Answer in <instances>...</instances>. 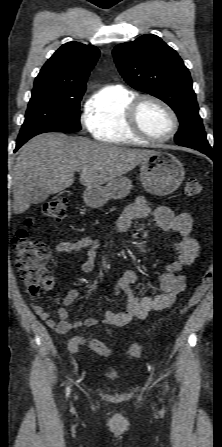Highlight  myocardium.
<instances>
[{"mask_svg": "<svg viewBox=\"0 0 222 447\" xmlns=\"http://www.w3.org/2000/svg\"><path fill=\"white\" fill-rule=\"evenodd\" d=\"M147 101L156 103L157 105L162 107L170 116V119L172 121V128L171 131L165 137L162 138L152 137L141 127L139 122V110L142 104ZM126 119L129 127L137 136L151 143L167 142L176 135L179 129V120L173 108L163 99L151 94H143L135 97L128 106L126 112Z\"/></svg>", "mask_w": 222, "mask_h": 447, "instance_id": "1", "label": "myocardium"}]
</instances>
